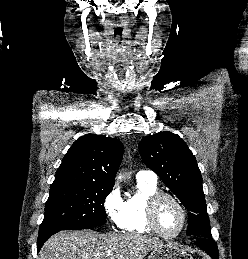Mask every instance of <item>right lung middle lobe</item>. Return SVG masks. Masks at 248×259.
I'll use <instances>...</instances> for the list:
<instances>
[{"mask_svg":"<svg viewBox=\"0 0 248 259\" xmlns=\"http://www.w3.org/2000/svg\"><path fill=\"white\" fill-rule=\"evenodd\" d=\"M112 188L97 184L51 186L39 234L89 229L105 224L103 205Z\"/></svg>","mask_w":248,"mask_h":259,"instance_id":"dd1d6c3e","label":"right lung middle lobe"}]
</instances>
